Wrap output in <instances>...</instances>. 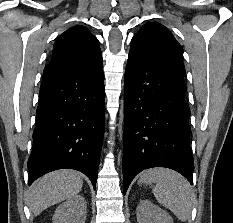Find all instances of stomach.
Here are the masks:
<instances>
[{"instance_id":"0dacf381","label":"stomach","mask_w":233,"mask_h":223,"mask_svg":"<svg viewBox=\"0 0 233 223\" xmlns=\"http://www.w3.org/2000/svg\"><path fill=\"white\" fill-rule=\"evenodd\" d=\"M141 183H152V181H149V179H141Z\"/></svg>"}]
</instances>
